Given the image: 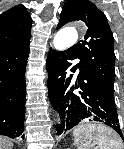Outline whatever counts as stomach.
<instances>
[{
    "mask_svg": "<svg viewBox=\"0 0 124 149\" xmlns=\"http://www.w3.org/2000/svg\"><path fill=\"white\" fill-rule=\"evenodd\" d=\"M85 126H89L91 129H92V131L94 132V133H96L101 127L102 128H105V127H103L102 125H85ZM106 130H108L109 131V133H110V135L111 136H113V137H116V135H115V133L111 130V129H106ZM117 138V137H116ZM81 141L83 140V141H86L87 142V140L89 141V139H80Z\"/></svg>",
    "mask_w": 124,
    "mask_h": 149,
    "instance_id": "0dacf381",
    "label": "stomach"
}]
</instances>
